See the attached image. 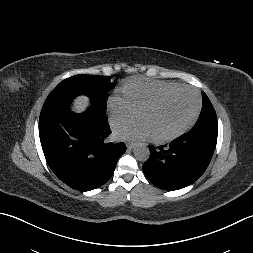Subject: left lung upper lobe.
<instances>
[{
  "label": "left lung upper lobe",
  "mask_w": 253,
  "mask_h": 253,
  "mask_svg": "<svg viewBox=\"0 0 253 253\" xmlns=\"http://www.w3.org/2000/svg\"><path fill=\"white\" fill-rule=\"evenodd\" d=\"M202 96L204 99V105L199 119L193 129L203 128L213 132H218L217 117L214 107L204 92L202 93Z\"/></svg>",
  "instance_id": "left-lung-upper-lobe-1"
}]
</instances>
